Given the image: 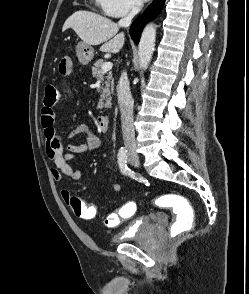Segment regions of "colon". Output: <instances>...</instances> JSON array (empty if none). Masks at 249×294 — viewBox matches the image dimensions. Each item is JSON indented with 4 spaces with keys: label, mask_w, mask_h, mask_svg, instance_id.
Instances as JSON below:
<instances>
[{
    "label": "colon",
    "mask_w": 249,
    "mask_h": 294,
    "mask_svg": "<svg viewBox=\"0 0 249 294\" xmlns=\"http://www.w3.org/2000/svg\"><path fill=\"white\" fill-rule=\"evenodd\" d=\"M71 65L70 58H63L59 64L58 70L59 73L64 77L69 73ZM61 100V93L59 89L53 84H47L45 86V96L44 104L47 106H54L58 104ZM157 203L160 205H169L174 208L179 216L173 222L170 227L171 237H177L183 232H186L192 228L193 225V210L190 202L181 196L177 195H165L160 197L157 200ZM70 205L73 209V212L78 217H88L93 218L95 211L90 208V204L86 203L79 197H72ZM136 211V204L133 202L127 203L123 207L122 217H130ZM188 212V214H186ZM114 222V220H113Z\"/></svg>",
    "instance_id": "5ec220e1"
}]
</instances>
